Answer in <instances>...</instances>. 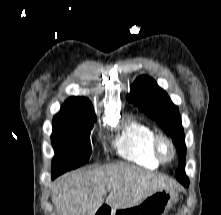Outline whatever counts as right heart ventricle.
<instances>
[{
    "mask_svg": "<svg viewBox=\"0 0 221 215\" xmlns=\"http://www.w3.org/2000/svg\"><path fill=\"white\" fill-rule=\"evenodd\" d=\"M154 136L150 125L138 117L128 116L121 132L113 140V147L124 159L153 168L158 165L152 150Z\"/></svg>",
    "mask_w": 221,
    "mask_h": 215,
    "instance_id": "right-heart-ventricle-1",
    "label": "right heart ventricle"
}]
</instances>
